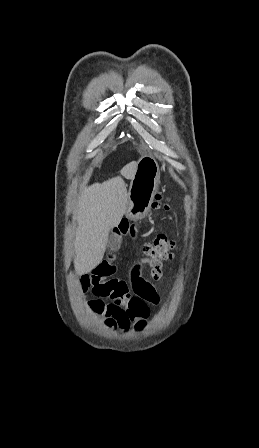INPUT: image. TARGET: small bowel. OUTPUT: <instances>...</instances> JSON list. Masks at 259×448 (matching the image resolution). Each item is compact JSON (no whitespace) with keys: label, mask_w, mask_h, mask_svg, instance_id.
<instances>
[{"label":"small bowel","mask_w":259,"mask_h":448,"mask_svg":"<svg viewBox=\"0 0 259 448\" xmlns=\"http://www.w3.org/2000/svg\"><path fill=\"white\" fill-rule=\"evenodd\" d=\"M137 227L122 221L114 230L116 239L124 235L135 236ZM114 253L102 260L79 281L82 291L90 289L98 297L111 300L105 303L101 299H90L87 302L90 312L101 317L103 323L111 329L128 330L130 327L143 329L150 316V305L159 303V296L154 286L140 276L139 265L131 271V280L125 281L114 277L117 267Z\"/></svg>","instance_id":"c3829d8e"}]
</instances>
